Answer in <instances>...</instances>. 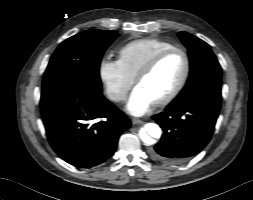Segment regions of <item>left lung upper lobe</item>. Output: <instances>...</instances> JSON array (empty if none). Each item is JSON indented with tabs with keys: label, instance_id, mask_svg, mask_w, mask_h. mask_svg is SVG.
I'll return each instance as SVG.
<instances>
[{
	"label": "left lung upper lobe",
	"instance_id": "1",
	"mask_svg": "<svg viewBox=\"0 0 253 200\" xmlns=\"http://www.w3.org/2000/svg\"><path fill=\"white\" fill-rule=\"evenodd\" d=\"M178 35L188 49L190 76L186 86L173 102L185 103L204 93L221 95V67L211 47L187 32H180Z\"/></svg>",
	"mask_w": 253,
	"mask_h": 200
}]
</instances>
